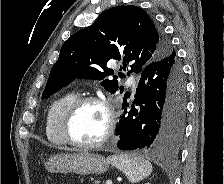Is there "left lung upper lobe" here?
I'll return each instance as SVG.
<instances>
[{
  "label": "left lung upper lobe",
  "mask_w": 224,
  "mask_h": 184,
  "mask_svg": "<svg viewBox=\"0 0 224 184\" xmlns=\"http://www.w3.org/2000/svg\"><path fill=\"white\" fill-rule=\"evenodd\" d=\"M173 52L176 53L143 9L115 7L62 45L42 98H49L76 78L103 80L101 85L107 91L115 93L121 89L122 92L114 71L106 66L110 59H123L120 71L126 72L130 64L131 70L127 73L130 75L131 72L140 73L148 64ZM107 75H113V80L105 79ZM118 75L125 76L124 73Z\"/></svg>",
  "instance_id": "obj_1"
}]
</instances>
